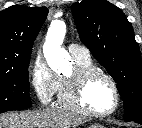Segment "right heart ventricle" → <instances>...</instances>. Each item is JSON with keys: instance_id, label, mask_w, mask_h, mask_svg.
<instances>
[{"instance_id": "obj_1", "label": "right heart ventricle", "mask_w": 142, "mask_h": 128, "mask_svg": "<svg viewBox=\"0 0 142 128\" xmlns=\"http://www.w3.org/2000/svg\"><path fill=\"white\" fill-rule=\"evenodd\" d=\"M76 66L77 67H83V68H87V67H93V62L90 59H86V60H82V59H74ZM58 102L59 105H61L62 107L65 108H69V106L66 103V92H65V83H64V79L60 78V84H59V89H58Z\"/></svg>"}]
</instances>
